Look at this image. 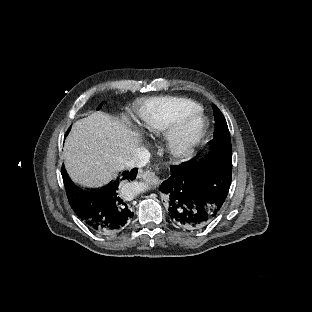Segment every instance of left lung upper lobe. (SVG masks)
<instances>
[{
    "instance_id": "5c2ea615",
    "label": "left lung upper lobe",
    "mask_w": 312,
    "mask_h": 312,
    "mask_svg": "<svg viewBox=\"0 0 312 312\" xmlns=\"http://www.w3.org/2000/svg\"><path fill=\"white\" fill-rule=\"evenodd\" d=\"M212 106L216 123L214 139L209 142V156H213L221 152L232 153L230 133L226 120L218 107L216 105Z\"/></svg>"
}]
</instances>
